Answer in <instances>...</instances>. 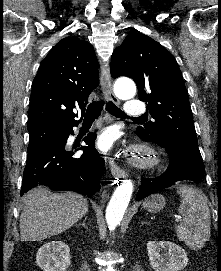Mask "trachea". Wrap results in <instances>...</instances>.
<instances>
[{
	"mask_svg": "<svg viewBox=\"0 0 221 271\" xmlns=\"http://www.w3.org/2000/svg\"><path fill=\"white\" fill-rule=\"evenodd\" d=\"M104 100H99V101H93L91 103L86 111L85 117L83 121H94L96 120L100 114L101 111L103 110V105H104ZM106 110L111 113V115L115 116L116 118H131L134 119V117H129L122 111L120 108H118L112 101H108L106 103ZM140 118V117H137Z\"/></svg>",
	"mask_w": 221,
	"mask_h": 271,
	"instance_id": "1",
	"label": "trachea"
}]
</instances>
